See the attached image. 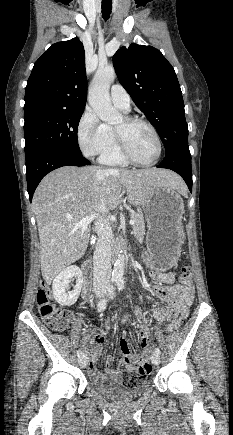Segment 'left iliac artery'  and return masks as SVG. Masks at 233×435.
Wrapping results in <instances>:
<instances>
[{"label":"left iliac artery","instance_id":"left-iliac-artery-1","mask_svg":"<svg viewBox=\"0 0 233 435\" xmlns=\"http://www.w3.org/2000/svg\"><path fill=\"white\" fill-rule=\"evenodd\" d=\"M116 284H117V287H118L119 290H123V288H124V279L122 277L117 278ZM155 353L158 354V355L161 354L159 348L155 349Z\"/></svg>","mask_w":233,"mask_h":435}]
</instances>
